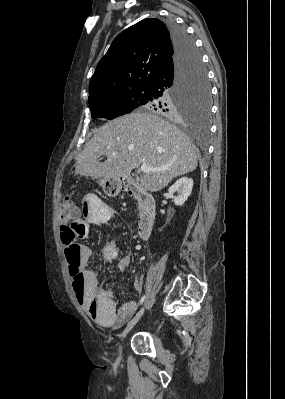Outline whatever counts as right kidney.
I'll return each mask as SVG.
<instances>
[{
    "label": "right kidney",
    "mask_w": 285,
    "mask_h": 399,
    "mask_svg": "<svg viewBox=\"0 0 285 399\" xmlns=\"http://www.w3.org/2000/svg\"><path fill=\"white\" fill-rule=\"evenodd\" d=\"M193 180L188 177H182L178 179L168 190L170 195L178 193V196H174V203L177 206H182L188 199L192 192Z\"/></svg>",
    "instance_id": "right-kidney-1"
}]
</instances>
